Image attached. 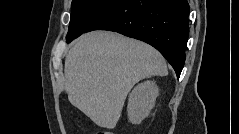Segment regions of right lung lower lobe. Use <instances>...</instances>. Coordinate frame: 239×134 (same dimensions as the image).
<instances>
[{"label": "right lung lower lobe", "instance_id": "98d812e1", "mask_svg": "<svg viewBox=\"0 0 239 134\" xmlns=\"http://www.w3.org/2000/svg\"><path fill=\"white\" fill-rule=\"evenodd\" d=\"M190 7L187 0H118L83 33L116 31L155 47L179 78L185 62Z\"/></svg>", "mask_w": 239, "mask_h": 134}]
</instances>
